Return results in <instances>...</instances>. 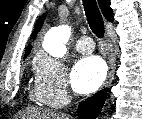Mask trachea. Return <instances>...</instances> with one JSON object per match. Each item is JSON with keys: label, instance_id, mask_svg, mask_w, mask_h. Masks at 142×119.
<instances>
[{"label": "trachea", "instance_id": "3493384b", "mask_svg": "<svg viewBox=\"0 0 142 119\" xmlns=\"http://www.w3.org/2000/svg\"><path fill=\"white\" fill-rule=\"evenodd\" d=\"M84 10L88 24L97 37L104 35V22L97 6L96 0H83Z\"/></svg>", "mask_w": 142, "mask_h": 119}]
</instances>
